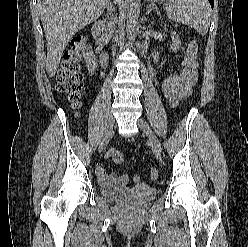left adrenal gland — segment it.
I'll use <instances>...</instances> for the list:
<instances>
[{"instance_id":"a2214340","label":"left adrenal gland","mask_w":248,"mask_h":247,"mask_svg":"<svg viewBox=\"0 0 248 247\" xmlns=\"http://www.w3.org/2000/svg\"><path fill=\"white\" fill-rule=\"evenodd\" d=\"M154 10H155L154 7H152L151 5H147V7H146V15H149V13H151Z\"/></svg>"}]
</instances>
